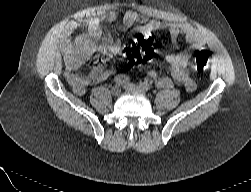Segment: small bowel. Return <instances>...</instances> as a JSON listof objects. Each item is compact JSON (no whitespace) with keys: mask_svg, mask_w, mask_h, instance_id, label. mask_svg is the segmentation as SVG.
Listing matches in <instances>:
<instances>
[{"mask_svg":"<svg viewBox=\"0 0 251 192\" xmlns=\"http://www.w3.org/2000/svg\"><path fill=\"white\" fill-rule=\"evenodd\" d=\"M140 20L134 11H128L122 20V27L130 28ZM77 22H70L59 37V47L63 55L65 78L68 85L76 95H83L86 89L107 79L114 70L98 60L93 64L89 74L80 76L77 69L87 61L95 52L118 53L121 43L114 41L111 33L106 30L101 21L92 19L88 21L87 31L72 38V32L77 28ZM144 31H166L171 35L172 51L165 54L164 60L171 70V76L163 74L158 69H151L148 74L155 80L159 88L169 89L176 82L180 83L187 91H193L196 83L191 76L190 60L195 50L206 43L205 36L186 23L162 22L151 20L147 22ZM185 35L187 46L183 47L180 36Z\"/></svg>","mask_w":251,"mask_h":192,"instance_id":"obj_1","label":"small bowel"}]
</instances>
